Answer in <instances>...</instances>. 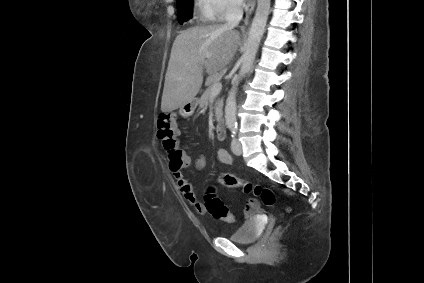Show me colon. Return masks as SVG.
<instances>
[{
	"mask_svg": "<svg viewBox=\"0 0 424 283\" xmlns=\"http://www.w3.org/2000/svg\"><path fill=\"white\" fill-rule=\"evenodd\" d=\"M157 137L166 150L169 159V167L172 172L188 167L189 159L183 150L178 146L177 118L173 114H162L157 120ZM218 182L227 188H240L244 193H253L261 198L262 202L271 206L275 203V195L269 189L260 185H253L249 181L243 180L233 174L221 173ZM204 206L206 211L217 220H224L229 223L235 221V216L230 213L223 202L215 195L211 188L205 195ZM257 208V201L251 199L247 203V214H253Z\"/></svg>",
	"mask_w": 424,
	"mask_h": 283,
	"instance_id": "5ec220e1",
	"label": "colon"
}]
</instances>
